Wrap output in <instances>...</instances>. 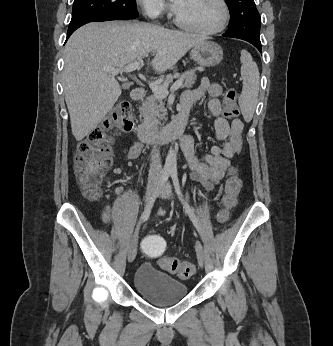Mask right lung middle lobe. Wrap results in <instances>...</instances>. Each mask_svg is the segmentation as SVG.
I'll return each instance as SVG.
<instances>
[{"label": "right lung middle lobe", "instance_id": "1", "mask_svg": "<svg viewBox=\"0 0 333 346\" xmlns=\"http://www.w3.org/2000/svg\"><path fill=\"white\" fill-rule=\"evenodd\" d=\"M137 17L135 0H74L68 31L89 22Z\"/></svg>", "mask_w": 333, "mask_h": 346}]
</instances>
